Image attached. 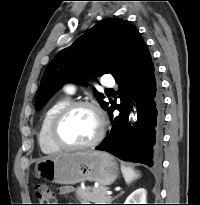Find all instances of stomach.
<instances>
[{"instance_id":"0dacf381","label":"stomach","mask_w":200,"mask_h":205,"mask_svg":"<svg viewBox=\"0 0 200 205\" xmlns=\"http://www.w3.org/2000/svg\"><path fill=\"white\" fill-rule=\"evenodd\" d=\"M35 169L45 180L66 185L89 180L107 186L118 176L115 159L106 152L98 151L46 157L37 162Z\"/></svg>"}]
</instances>
